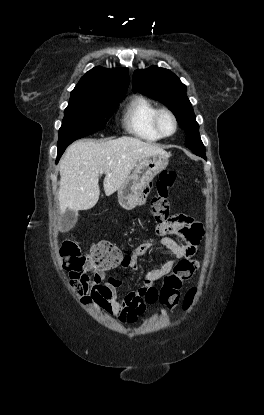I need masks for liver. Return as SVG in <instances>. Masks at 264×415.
I'll return each instance as SVG.
<instances>
[{"label": "liver", "instance_id": "liver-1", "mask_svg": "<svg viewBox=\"0 0 264 415\" xmlns=\"http://www.w3.org/2000/svg\"><path fill=\"white\" fill-rule=\"evenodd\" d=\"M159 154L168 155L161 147L132 137L71 144L60 161V213L88 210L96 205L101 171L106 174L105 194L110 196L126 182L139 160Z\"/></svg>", "mask_w": 264, "mask_h": 415}]
</instances>
